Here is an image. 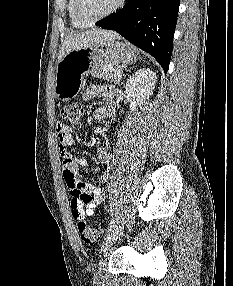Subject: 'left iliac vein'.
I'll list each match as a JSON object with an SVG mask.
<instances>
[{
	"label": "left iliac vein",
	"mask_w": 233,
	"mask_h": 286,
	"mask_svg": "<svg viewBox=\"0 0 233 286\" xmlns=\"http://www.w3.org/2000/svg\"><path fill=\"white\" fill-rule=\"evenodd\" d=\"M123 227L121 225H115L110 232L105 236L104 241L101 246V251H107L113 243L120 237L122 234Z\"/></svg>",
	"instance_id": "obj_1"
}]
</instances>
